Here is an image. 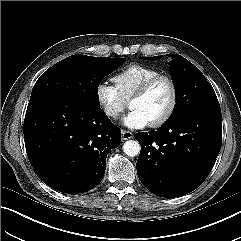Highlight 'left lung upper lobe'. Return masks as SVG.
I'll return each instance as SVG.
<instances>
[{"label":"left lung upper lobe","mask_w":241,"mask_h":241,"mask_svg":"<svg viewBox=\"0 0 241 241\" xmlns=\"http://www.w3.org/2000/svg\"><path fill=\"white\" fill-rule=\"evenodd\" d=\"M147 57L148 60L158 59ZM176 88V105L167 121L194 111L221 112L216 94L202 72L184 57L176 54L169 62Z\"/></svg>","instance_id":"5c2ea615"}]
</instances>
